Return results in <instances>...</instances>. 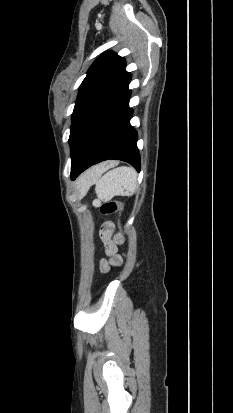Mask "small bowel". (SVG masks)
I'll list each match as a JSON object with an SVG mask.
<instances>
[{
	"mask_svg": "<svg viewBox=\"0 0 233 413\" xmlns=\"http://www.w3.org/2000/svg\"><path fill=\"white\" fill-rule=\"evenodd\" d=\"M112 229L111 226L108 225L102 233L103 240L106 247V253L110 257L108 260L103 259L101 261V270L103 272H107L111 266L119 265L122 261L120 255L117 254V242L118 240H113L111 238Z\"/></svg>",
	"mask_w": 233,
	"mask_h": 413,
	"instance_id": "small-bowel-1",
	"label": "small bowel"
}]
</instances>
